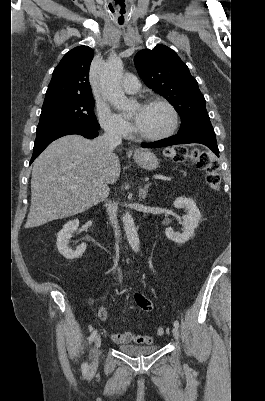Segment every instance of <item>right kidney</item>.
I'll return each instance as SVG.
<instances>
[{"instance_id":"obj_1","label":"right kidney","mask_w":265,"mask_h":401,"mask_svg":"<svg viewBox=\"0 0 265 401\" xmlns=\"http://www.w3.org/2000/svg\"><path fill=\"white\" fill-rule=\"evenodd\" d=\"M78 227V219H75V221H69V223H66L57 235V249L65 259H78V257H82L83 253L86 251V243H81L76 251H72V249L68 247L69 239H71L74 231H77Z\"/></svg>"}]
</instances>
